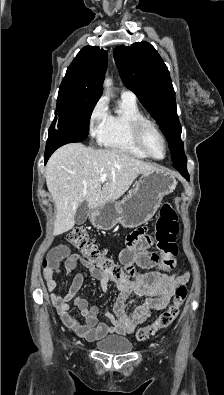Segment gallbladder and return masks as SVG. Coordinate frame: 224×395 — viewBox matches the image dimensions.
I'll return each mask as SVG.
<instances>
[{
	"instance_id": "obj_1",
	"label": "gallbladder",
	"mask_w": 224,
	"mask_h": 395,
	"mask_svg": "<svg viewBox=\"0 0 224 395\" xmlns=\"http://www.w3.org/2000/svg\"><path fill=\"white\" fill-rule=\"evenodd\" d=\"M89 207L87 201H83L79 204L76 212H75V223L77 225H82L85 223L87 220L88 214H89Z\"/></svg>"
}]
</instances>
